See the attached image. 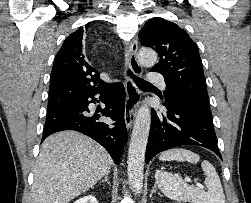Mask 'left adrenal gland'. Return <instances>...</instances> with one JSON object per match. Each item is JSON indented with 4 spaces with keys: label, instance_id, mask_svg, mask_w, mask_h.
<instances>
[{
    "label": "left adrenal gland",
    "instance_id": "left-adrenal-gland-1",
    "mask_svg": "<svg viewBox=\"0 0 251 203\" xmlns=\"http://www.w3.org/2000/svg\"><path fill=\"white\" fill-rule=\"evenodd\" d=\"M154 193H156V184H154V186H153V189H152V191H151V195L150 196H152V194H154ZM160 195V194H159Z\"/></svg>",
    "mask_w": 251,
    "mask_h": 203
}]
</instances>
